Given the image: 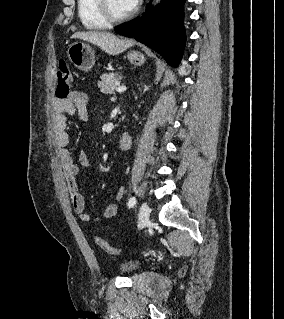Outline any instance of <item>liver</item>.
I'll return each instance as SVG.
<instances>
[{"label":"liver","mask_w":284,"mask_h":319,"mask_svg":"<svg viewBox=\"0 0 284 319\" xmlns=\"http://www.w3.org/2000/svg\"><path fill=\"white\" fill-rule=\"evenodd\" d=\"M71 38L81 39L93 43L109 55H117L122 53L135 43L131 39H120L116 35L107 31L76 32Z\"/></svg>","instance_id":"1"}]
</instances>
